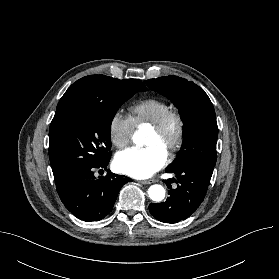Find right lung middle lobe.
<instances>
[{
    "label": "right lung middle lobe",
    "mask_w": 279,
    "mask_h": 279,
    "mask_svg": "<svg viewBox=\"0 0 279 279\" xmlns=\"http://www.w3.org/2000/svg\"><path fill=\"white\" fill-rule=\"evenodd\" d=\"M142 89L133 80L96 75L92 91L68 98L51 122L49 157L55 182L110 160V127L118 108Z\"/></svg>",
    "instance_id": "obj_1"
}]
</instances>
